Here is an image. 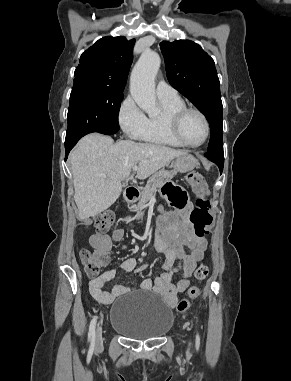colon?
I'll list each match as a JSON object with an SVG mask.
<instances>
[{
    "label": "colon",
    "instance_id": "colon-1",
    "mask_svg": "<svg viewBox=\"0 0 291 381\" xmlns=\"http://www.w3.org/2000/svg\"><path fill=\"white\" fill-rule=\"evenodd\" d=\"M188 181L193 188L194 192L198 195L197 206L191 212L190 221L194 227L195 235L204 237L209 234L212 225L213 217L209 212V202L206 199L207 184L204 177L200 173H192ZM166 191V189L164 190ZM183 199H175L176 205H182ZM115 221V215L111 211H104L96 216L87 220V227H94L97 233L104 234L107 232ZM80 259L84 265V270L87 276L95 277L98 275L101 267L109 262V255L104 251H90L82 249L80 251ZM209 274V268L206 264L197 266L194 276L198 281H203ZM200 295V288L198 286H191L185 298L181 299L177 304L178 312H185L188 310L191 301L197 299Z\"/></svg>",
    "mask_w": 291,
    "mask_h": 381
}]
</instances>
